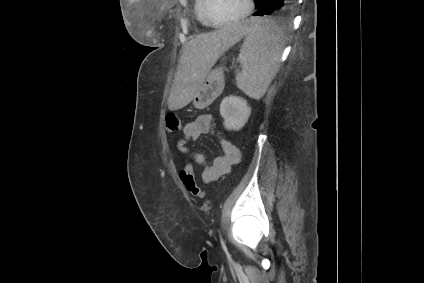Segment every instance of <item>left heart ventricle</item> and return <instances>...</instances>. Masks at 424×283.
<instances>
[{"label": "left heart ventricle", "mask_w": 424, "mask_h": 283, "mask_svg": "<svg viewBox=\"0 0 424 283\" xmlns=\"http://www.w3.org/2000/svg\"><path fill=\"white\" fill-rule=\"evenodd\" d=\"M246 6V0H211L210 16L215 22L229 21L240 16Z\"/></svg>", "instance_id": "left-heart-ventricle-1"}]
</instances>
